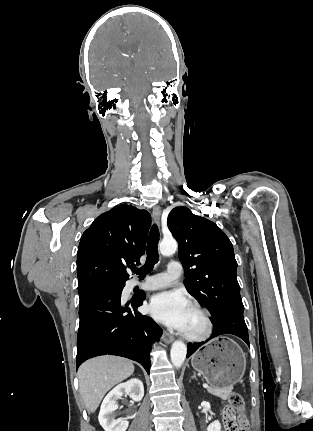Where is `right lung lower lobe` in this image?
I'll return each mask as SVG.
<instances>
[{
    "mask_svg": "<svg viewBox=\"0 0 313 431\" xmlns=\"http://www.w3.org/2000/svg\"><path fill=\"white\" fill-rule=\"evenodd\" d=\"M124 286L97 285L79 291L77 368L89 358L109 354L135 360L149 373L151 345L160 339L162 329L136 310L145 294L127 303L121 300Z\"/></svg>",
    "mask_w": 313,
    "mask_h": 431,
    "instance_id": "98d812e1",
    "label": "right lung lower lobe"
}]
</instances>
